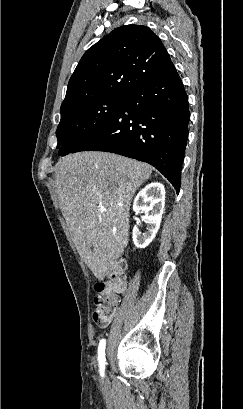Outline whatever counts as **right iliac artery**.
<instances>
[{"label":"right iliac artery","mask_w":243,"mask_h":409,"mask_svg":"<svg viewBox=\"0 0 243 409\" xmlns=\"http://www.w3.org/2000/svg\"><path fill=\"white\" fill-rule=\"evenodd\" d=\"M105 346H106V341L105 339H102L99 343L98 347V362H99V370L100 374L103 376L104 375V369H105Z\"/></svg>","instance_id":"82829eb1"}]
</instances>
